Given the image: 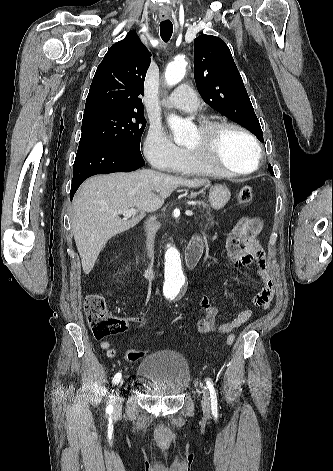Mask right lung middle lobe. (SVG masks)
Listing matches in <instances>:
<instances>
[{
    "label": "right lung middle lobe",
    "mask_w": 333,
    "mask_h": 471,
    "mask_svg": "<svg viewBox=\"0 0 333 471\" xmlns=\"http://www.w3.org/2000/svg\"><path fill=\"white\" fill-rule=\"evenodd\" d=\"M146 125L143 111H109L82 120L79 146L107 144L121 147L137 154Z\"/></svg>",
    "instance_id": "obj_1"
}]
</instances>
